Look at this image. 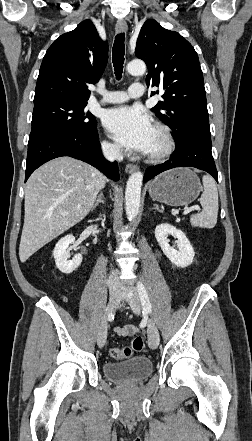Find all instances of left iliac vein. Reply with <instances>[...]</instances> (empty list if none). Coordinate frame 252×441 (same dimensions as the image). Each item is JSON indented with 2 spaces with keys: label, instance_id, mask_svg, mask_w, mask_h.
<instances>
[{
  "label": "left iliac vein",
  "instance_id": "left-iliac-vein-1",
  "mask_svg": "<svg viewBox=\"0 0 252 441\" xmlns=\"http://www.w3.org/2000/svg\"><path fill=\"white\" fill-rule=\"evenodd\" d=\"M130 293L132 296L130 307L135 314L139 315L141 313V304L138 293L135 288H131ZM147 333H148V343L150 348L156 349L159 345L160 337H159L158 329L155 323L151 319H148L147 322Z\"/></svg>",
  "mask_w": 252,
  "mask_h": 441
}]
</instances>
